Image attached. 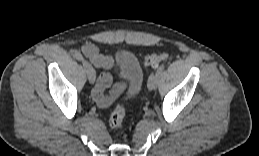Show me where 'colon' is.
Wrapping results in <instances>:
<instances>
[{
    "label": "colon",
    "instance_id": "obj_1",
    "mask_svg": "<svg viewBox=\"0 0 259 156\" xmlns=\"http://www.w3.org/2000/svg\"><path fill=\"white\" fill-rule=\"evenodd\" d=\"M167 54H153L144 59V64L150 67H157L162 61L166 60ZM125 109L122 104H118L110 116V125L113 128L119 129L123 126Z\"/></svg>",
    "mask_w": 259,
    "mask_h": 156
}]
</instances>
